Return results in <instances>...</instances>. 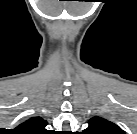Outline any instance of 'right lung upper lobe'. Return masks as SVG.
<instances>
[{"label": "right lung upper lobe", "mask_w": 137, "mask_h": 134, "mask_svg": "<svg viewBox=\"0 0 137 134\" xmlns=\"http://www.w3.org/2000/svg\"><path fill=\"white\" fill-rule=\"evenodd\" d=\"M47 121L41 117H32L21 123L14 130L19 134H48L45 129Z\"/></svg>", "instance_id": "cb5924a9"}]
</instances>
